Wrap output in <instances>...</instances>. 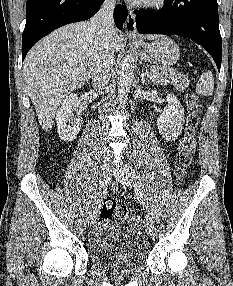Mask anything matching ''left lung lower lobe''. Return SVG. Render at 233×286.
Listing matches in <instances>:
<instances>
[{"mask_svg":"<svg viewBox=\"0 0 233 286\" xmlns=\"http://www.w3.org/2000/svg\"><path fill=\"white\" fill-rule=\"evenodd\" d=\"M142 34L178 35L193 40L213 57L220 71L222 39L217 0H165L159 10H135Z\"/></svg>","mask_w":233,"mask_h":286,"instance_id":"left-lung-lower-lobe-1","label":"left lung lower lobe"}]
</instances>
